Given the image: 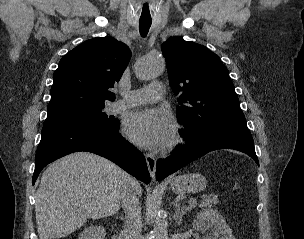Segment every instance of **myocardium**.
<instances>
[{
    "label": "myocardium",
    "mask_w": 304,
    "mask_h": 239,
    "mask_svg": "<svg viewBox=\"0 0 304 239\" xmlns=\"http://www.w3.org/2000/svg\"><path fill=\"white\" fill-rule=\"evenodd\" d=\"M184 134L181 129L176 128L170 141H169V147L171 149L178 147L184 142Z\"/></svg>",
    "instance_id": "f54148a6"
}]
</instances>
